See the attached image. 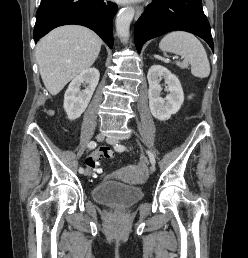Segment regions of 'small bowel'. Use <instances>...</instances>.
Here are the masks:
<instances>
[{"label":"small bowel","instance_id":"obj_1","mask_svg":"<svg viewBox=\"0 0 248 258\" xmlns=\"http://www.w3.org/2000/svg\"><path fill=\"white\" fill-rule=\"evenodd\" d=\"M95 176H96V175H95ZM112 176H113V177H115V176H116V174H113Z\"/></svg>","mask_w":248,"mask_h":258}]
</instances>
